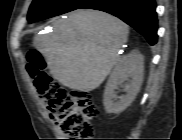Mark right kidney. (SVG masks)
<instances>
[{
    "label": "right kidney",
    "instance_id": "obj_1",
    "mask_svg": "<svg viewBox=\"0 0 182 140\" xmlns=\"http://www.w3.org/2000/svg\"><path fill=\"white\" fill-rule=\"evenodd\" d=\"M144 58L140 53L123 56L113 69L104 92V107L108 113L124 111L135 99L143 81ZM125 84L126 94L117 101L115 90Z\"/></svg>",
    "mask_w": 182,
    "mask_h": 140
}]
</instances>
